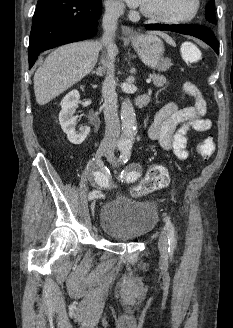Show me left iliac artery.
<instances>
[{
    "label": "left iliac artery",
    "instance_id": "1",
    "mask_svg": "<svg viewBox=\"0 0 233 328\" xmlns=\"http://www.w3.org/2000/svg\"><path fill=\"white\" fill-rule=\"evenodd\" d=\"M121 150V155L119 158L120 163H126L129 158H130V147L129 146H124L120 148ZM139 177V173L136 171H122L120 175V179L122 181L126 182H134L137 180ZM165 223H166V229H167V238L169 242V249L171 248L172 250L176 247V238H175V230L174 226L171 223L170 219L168 217L165 218Z\"/></svg>",
    "mask_w": 233,
    "mask_h": 328
}]
</instances>
